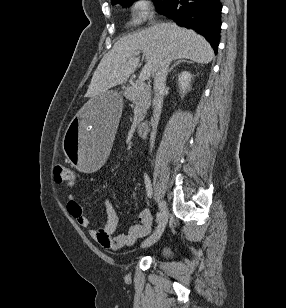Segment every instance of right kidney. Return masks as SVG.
<instances>
[{
  "instance_id": "obj_1",
  "label": "right kidney",
  "mask_w": 286,
  "mask_h": 308,
  "mask_svg": "<svg viewBox=\"0 0 286 308\" xmlns=\"http://www.w3.org/2000/svg\"><path fill=\"white\" fill-rule=\"evenodd\" d=\"M193 75L188 71H183L178 75V85L180 93L184 96L190 90V83Z\"/></svg>"
}]
</instances>
